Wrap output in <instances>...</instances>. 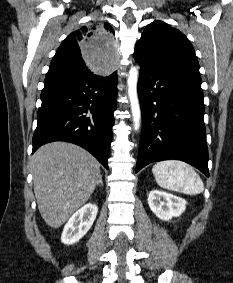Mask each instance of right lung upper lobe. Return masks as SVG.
Masks as SVG:
<instances>
[{"mask_svg": "<svg viewBox=\"0 0 233 283\" xmlns=\"http://www.w3.org/2000/svg\"><path fill=\"white\" fill-rule=\"evenodd\" d=\"M113 35L112 26L103 22L83 26L72 32L58 48L46 78L114 70L113 60H108L117 59L118 44L111 43H118V38H113Z\"/></svg>", "mask_w": 233, "mask_h": 283, "instance_id": "obj_1", "label": "right lung upper lobe"}]
</instances>
